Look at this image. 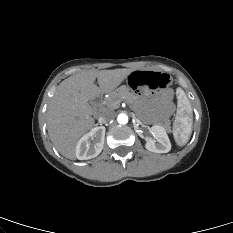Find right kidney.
Returning a JSON list of instances; mask_svg holds the SVG:
<instances>
[{
	"label": "right kidney",
	"mask_w": 233,
	"mask_h": 233,
	"mask_svg": "<svg viewBox=\"0 0 233 233\" xmlns=\"http://www.w3.org/2000/svg\"><path fill=\"white\" fill-rule=\"evenodd\" d=\"M105 127H95L85 134L76 145V157L79 160H88L98 156L104 146Z\"/></svg>",
	"instance_id": "obj_1"
}]
</instances>
